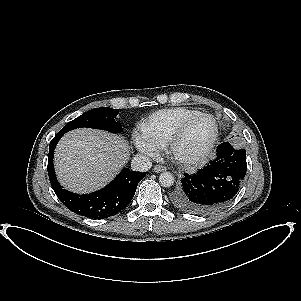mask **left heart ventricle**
I'll return each instance as SVG.
<instances>
[{
	"instance_id": "obj_1",
	"label": "left heart ventricle",
	"mask_w": 301,
	"mask_h": 301,
	"mask_svg": "<svg viewBox=\"0 0 301 301\" xmlns=\"http://www.w3.org/2000/svg\"><path fill=\"white\" fill-rule=\"evenodd\" d=\"M214 131V124L208 118H201L190 125L176 151L181 156H195L209 142Z\"/></svg>"
}]
</instances>
